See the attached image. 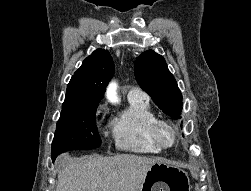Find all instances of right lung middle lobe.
I'll return each instance as SVG.
<instances>
[{
	"label": "right lung middle lobe",
	"instance_id": "dd1d6c3e",
	"mask_svg": "<svg viewBox=\"0 0 251 191\" xmlns=\"http://www.w3.org/2000/svg\"><path fill=\"white\" fill-rule=\"evenodd\" d=\"M98 105H87L61 111L52 142L51 157L68 150H90L101 145L95 114Z\"/></svg>",
	"mask_w": 251,
	"mask_h": 191
}]
</instances>
